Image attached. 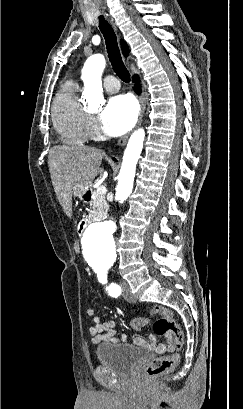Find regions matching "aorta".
I'll use <instances>...</instances> for the list:
<instances>
[{"mask_svg": "<svg viewBox=\"0 0 243 409\" xmlns=\"http://www.w3.org/2000/svg\"><path fill=\"white\" fill-rule=\"evenodd\" d=\"M105 65L104 56L95 54L86 60L82 69L83 93L88 105L91 107H98L103 102L101 76ZM144 139V130L138 129L128 141L116 187V198L120 203H123L132 192L136 165L143 148ZM115 227V222L111 220L89 224L82 236L84 255L97 260L114 256L116 253L113 237Z\"/></svg>", "mask_w": 243, "mask_h": 409, "instance_id": "obj_1", "label": "aorta"}]
</instances>
